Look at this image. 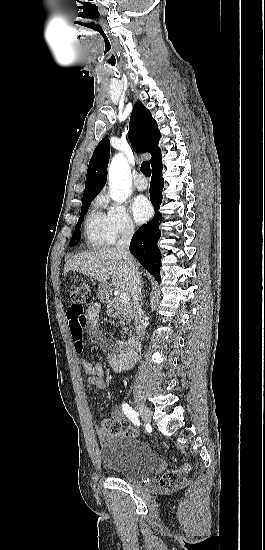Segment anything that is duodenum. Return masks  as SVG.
Returning a JSON list of instances; mask_svg holds the SVG:
<instances>
[{
  "label": "duodenum",
  "mask_w": 265,
  "mask_h": 550,
  "mask_svg": "<svg viewBox=\"0 0 265 550\" xmlns=\"http://www.w3.org/2000/svg\"><path fill=\"white\" fill-rule=\"evenodd\" d=\"M139 340L135 337H131L128 339L127 341V346L131 349V350H137L139 348Z\"/></svg>",
  "instance_id": "1"
}]
</instances>
